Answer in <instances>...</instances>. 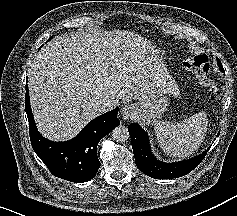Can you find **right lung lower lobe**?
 I'll return each instance as SVG.
<instances>
[{
    "label": "right lung lower lobe",
    "instance_id": "1",
    "mask_svg": "<svg viewBox=\"0 0 237 216\" xmlns=\"http://www.w3.org/2000/svg\"><path fill=\"white\" fill-rule=\"evenodd\" d=\"M25 108L32 147L49 171L54 176L71 182L83 183L91 180L100 167L97 145L104 136L120 125L117 118L119 109L95 118L75 138L66 142H53L37 131L27 85Z\"/></svg>",
    "mask_w": 237,
    "mask_h": 216
}]
</instances>
